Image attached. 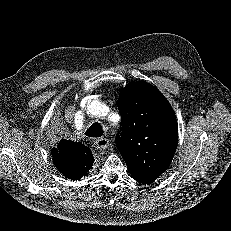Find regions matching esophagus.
<instances>
[{
	"label": "esophagus",
	"mask_w": 231,
	"mask_h": 231,
	"mask_svg": "<svg viewBox=\"0 0 231 231\" xmlns=\"http://www.w3.org/2000/svg\"><path fill=\"white\" fill-rule=\"evenodd\" d=\"M96 148L100 150H105L109 147L110 141L107 138H99L95 142Z\"/></svg>",
	"instance_id": "34e87169"
}]
</instances>
